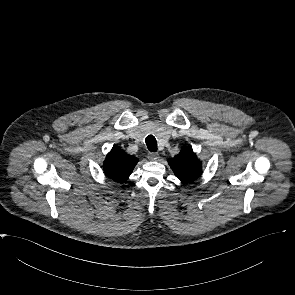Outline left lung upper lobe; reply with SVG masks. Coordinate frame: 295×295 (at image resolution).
<instances>
[{"mask_svg": "<svg viewBox=\"0 0 295 295\" xmlns=\"http://www.w3.org/2000/svg\"><path fill=\"white\" fill-rule=\"evenodd\" d=\"M168 163L175 175L185 183L197 179L202 173L201 162L189 147H183L178 155L168 160Z\"/></svg>", "mask_w": 295, "mask_h": 295, "instance_id": "5c2ea615", "label": "left lung upper lobe"}]
</instances>
